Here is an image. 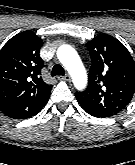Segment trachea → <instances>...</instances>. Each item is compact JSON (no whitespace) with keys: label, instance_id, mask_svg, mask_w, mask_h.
Returning a JSON list of instances; mask_svg holds the SVG:
<instances>
[{"label":"trachea","instance_id":"3493384b","mask_svg":"<svg viewBox=\"0 0 135 165\" xmlns=\"http://www.w3.org/2000/svg\"><path fill=\"white\" fill-rule=\"evenodd\" d=\"M65 74V70L64 68L59 65V64H56L53 68H52V71H51V75L52 76H56V75H64Z\"/></svg>","mask_w":135,"mask_h":165}]
</instances>
